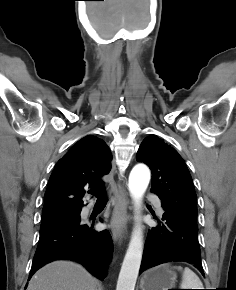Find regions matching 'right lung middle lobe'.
I'll return each instance as SVG.
<instances>
[{
  "mask_svg": "<svg viewBox=\"0 0 236 290\" xmlns=\"http://www.w3.org/2000/svg\"><path fill=\"white\" fill-rule=\"evenodd\" d=\"M78 221H80V211H67L42 215L40 233H44L61 226L71 225Z\"/></svg>",
  "mask_w": 236,
  "mask_h": 290,
  "instance_id": "right-lung-middle-lobe-1",
  "label": "right lung middle lobe"
}]
</instances>
